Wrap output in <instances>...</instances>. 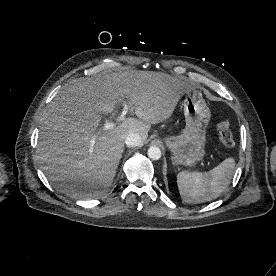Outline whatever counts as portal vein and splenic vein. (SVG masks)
I'll list each match as a JSON object with an SVG mask.
<instances>
[{"label":"portal vein and splenic vein","instance_id":"1","mask_svg":"<svg viewBox=\"0 0 276 276\" xmlns=\"http://www.w3.org/2000/svg\"><path fill=\"white\" fill-rule=\"evenodd\" d=\"M130 106H128L126 103L123 104V110L121 114L117 117V121L120 122L125 119L126 114L128 113ZM115 124L111 122H106L103 126L104 130H109L114 128Z\"/></svg>","mask_w":276,"mask_h":276}]
</instances>
